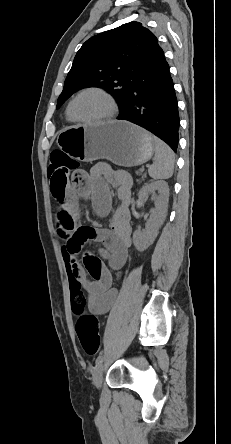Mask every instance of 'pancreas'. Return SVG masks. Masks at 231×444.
<instances>
[{
    "label": "pancreas",
    "mask_w": 231,
    "mask_h": 444,
    "mask_svg": "<svg viewBox=\"0 0 231 444\" xmlns=\"http://www.w3.org/2000/svg\"><path fill=\"white\" fill-rule=\"evenodd\" d=\"M138 175H140L141 176V180H143L144 178H146V174H142V171L140 170V171H137L136 172Z\"/></svg>",
    "instance_id": "obj_1"
}]
</instances>
